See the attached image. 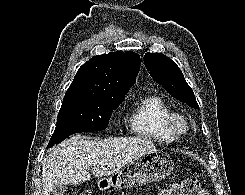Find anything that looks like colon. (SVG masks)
<instances>
[{
    "instance_id": "colon-1",
    "label": "colon",
    "mask_w": 245,
    "mask_h": 195,
    "mask_svg": "<svg viewBox=\"0 0 245 195\" xmlns=\"http://www.w3.org/2000/svg\"><path fill=\"white\" fill-rule=\"evenodd\" d=\"M159 195H205V191L198 179L187 178L163 189Z\"/></svg>"
}]
</instances>
